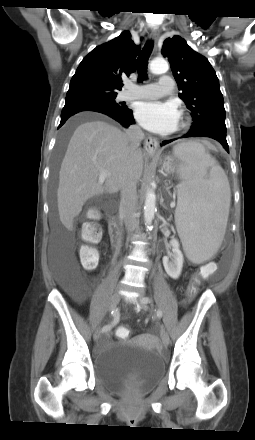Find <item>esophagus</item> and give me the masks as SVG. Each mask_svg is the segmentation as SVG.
Instances as JSON below:
<instances>
[{"mask_svg": "<svg viewBox=\"0 0 255 440\" xmlns=\"http://www.w3.org/2000/svg\"><path fill=\"white\" fill-rule=\"evenodd\" d=\"M159 35H160L159 29L154 28L152 30V32H151L150 37L155 42V45H156V42H157V40L159 38ZM144 148H145V151L149 155H155L158 152V148H159L158 141L156 139L152 138V137H148L144 141Z\"/></svg>", "mask_w": 255, "mask_h": 440, "instance_id": "34e87169", "label": "esophagus"}]
</instances>
